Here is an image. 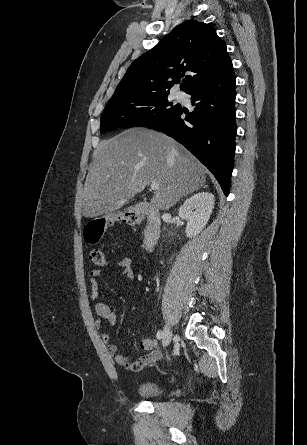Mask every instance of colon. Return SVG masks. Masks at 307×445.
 I'll return each instance as SVG.
<instances>
[{
    "instance_id": "1",
    "label": "colon",
    "mask_w": 307,
    "mask_h": 445,
    "mask_svg": "<svg viewBox=\"0 0 307 445\" xmlns=\"http://www.w3.org/2000/svg\"><path fill=\"white\" fill-rule=\"evenodd\" d=\"M119 221L136 229L141 225L142 218L133 211L116 212L108 216L95 218L84 228V241L89 245L96 244L103 237L107 226ZM90 259L97 270L108 264V256L101 249H93L90 253ZM142 342H147V339H144Z\"/></svg>"
}]
</instances>
